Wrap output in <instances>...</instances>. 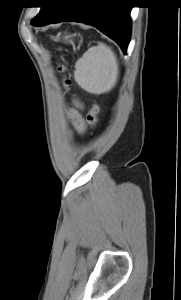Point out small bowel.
<instances>
[{
  "mask_svg": "<svg viewBox=\"0 0 181 300\" xmlns=\"http://www.w3.org/2000/svg\"><path fill=\"white\" fill-rule=\"evenodd\" d=\"M73 118L75 120V126L79 133H83L86 129L85 123L83 122L81 116L78 113H73Z\"/></svg>",
  "mask_w": 181,
  "mask_h": 300,
  "instance_id": "c3829d8e",
  "label": "small bowel"
}]
</instances>
